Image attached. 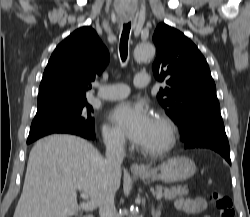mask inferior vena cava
<instances>
[{"instance_id":"1","label":"inferior vena cava","mask_w":250,"mask_h":217,"mask_svg":"<svg viewBox=\"0 0 250 217\" xmlns=\"http://www.w3.org/2000/svg\"><path fill=\"white\" fill-rule=\"evenodd\" d=\"M124 142V138L117 134L105 139L106 158L104 167L108 180V190L102 195L99 204L100 217H116L114 180L121 175V164L125 156Z\"/></svg>"}]
</instances>
